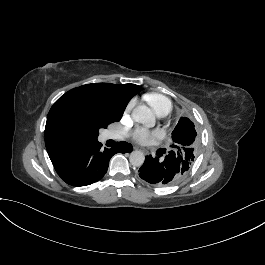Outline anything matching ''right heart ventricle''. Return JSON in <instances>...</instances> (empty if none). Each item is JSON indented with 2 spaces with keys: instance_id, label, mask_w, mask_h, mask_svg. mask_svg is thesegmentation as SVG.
Returning a JSON list of instances; mask_svg holds the SVG:
<instances>
[{
  "instance_id": "right-heart-ventricle-1",
  "label": "right heart ventricle",
  "mask_w": 265,
  "mask_h": 265,
  "mask_svg": "<svg viewBox=\"0 0 265 265\" xmlns=\"http://www.w3.org/2000/svg\"><path fill=\"white\" fill-rule=\"evenodd\" d=\"M146 105L150 109H154V113L158 117H165L171 111V104L163 95H147Z\"/></svg>"
}]
</instances>
